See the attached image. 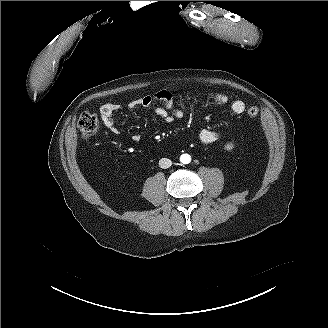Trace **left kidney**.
Returning <instances> with one entry per match:
<instances>
[{
  "label": "left kidney",
  "mask_w": 328,
  "mask_h": 328,
  "mask_svg": "<svg viewBox=\"0 0 328 328\" xmlns=\"http://www.w3.org/2000/svg\"><path fill=\"white\" fill-rule=\"evenodd\" d=\"M224 149H225L226 151H232V150L234 149V145L231 144V143H228V144H226V145L224 146Z\"/></svg>",
  "instance_id": "1"
}]
</instances>
